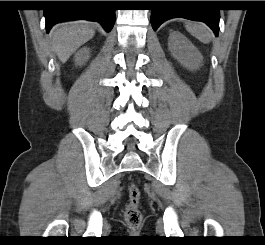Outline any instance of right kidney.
I'll use <instances>...</instances> for the list:
<instances>
[{
  "instance_id": "ca27d5eb",
  "label": "right kidney",
  "mask_w": 265,
  "mask_h": 245,
  "mask_svg": "<svg viewBox=\"0 0 265 245\" xmlns=\"http://www.w3.org/2000/svg\"><path fill=\"white\" fill-rule=\"evenodd\" d=\"M90 58L89 48H82L79 50L75 56L74 61L76 65H83Z\"/></svg>"
}]
</instances>
